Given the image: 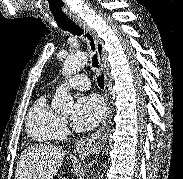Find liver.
<instances>
[{
    "mask_svg": "<svg viewBox=\"0 0 183 179\" xmlns=\"http://www.w3.org/2000/svg\"><path fill=\"white\" fill-rule=\"evenodd\" d=\"M64 156L65 151L58 146H29L18 160L15 179H53Z\"/></svg>",
    "mask_w": 183,
    "mask_h": 179,
    "instance_id": "liver-1",
    "label": "liver"
}]
</instances>
